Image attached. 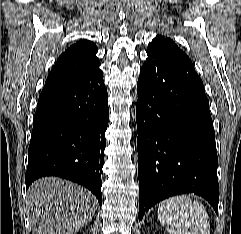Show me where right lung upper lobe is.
Returning <instances> with one entry per match:
<instances>
[{
    "mask_svg": "<svg viewBox=\"0 0 241 234\" xmlns=\"http://www.w3.org/2000/svg\"><path fill=\"white\" fill-rule=\"evenodd\" d=\"M97 51L96 45L89 40H80L70 46L59 56L45 86L72 81L97 69L100 65Z\"/></svg>",
    "mask_w": 241,
    "mask_h": 234,
    "instance_id": "1",
    "label": "right lung upper lobe"
}]
</instances>
